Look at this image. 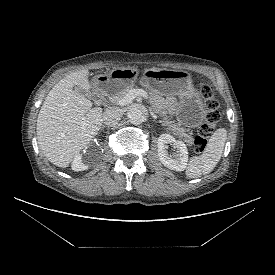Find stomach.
I'll use <instances>...</instances> for the list:
<instances>
[{
	"instance_id": "0dacf381",
	"label": "stomach",
	"mask_w": 275,
	"mask_h": 275,
	"mask_svg": "<svg viewBox=\"0 0 275 275\" xmlns=\"http://www.w3.org/2000/svg\"><path fill=\"white\" fill-rule=\"evenodd\" d=\"M139 76L134 67L115 68L107 74H99L93 78L94 88L101 93L115 94L132 87ZM141 84L163 95L180 97L177 119L187 127L199 126L205 118V108L200 92L194 88L191 74L184 70L146 69Z\"/></svg>"
}]
</instances>
